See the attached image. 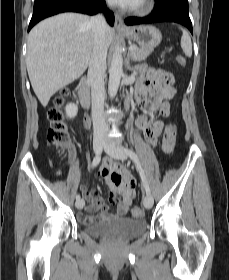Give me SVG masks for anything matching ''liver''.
Returning <instances> with one entry per match:
<instances>
[{
  "label": "liver",
  "mask_w": 229,
  "mask_h": 280,
  "mask_svg": "<svg viewBox=\"0 0 229 280\" xmlns=\"http://www.w3.org/2000/svg\"><path fill=\"white\" fill-rule=\"evenodd\" d=\"M89 21L85 15L63 13L45 19L30 31L26 66L32 88L43 107L58 90L86 71L93 51ZM112 36V29L107 26L104 35L107 47Z\"/></svg>",
  "instance_id": "1"
}]
</instances>
